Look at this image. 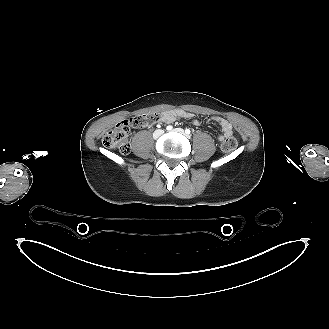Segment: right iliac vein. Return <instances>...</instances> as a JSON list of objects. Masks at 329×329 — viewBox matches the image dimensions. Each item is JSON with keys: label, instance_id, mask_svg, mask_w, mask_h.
<instances>
[{"label": "right iliac vein", "instance_id": "63e3f726", "mask_svg": "<svg viewBox=\"0 0 329 329\" xmlns=\"http://www.w3.org/2000/svg\"><path fill=\"white\" fill-rule=\"evenodd\" d=\"M162 133H163L162 130H157V131L154 133V137H155V138H158Z\"/></svg>", "mask_w": 329, "mask_h": 329}]
</instances>
